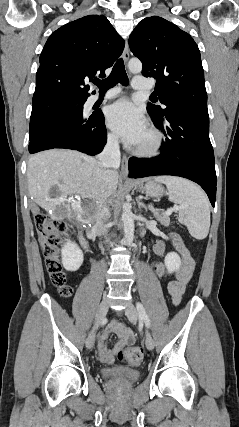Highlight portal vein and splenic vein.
<instances>
[{"label":"portal vein and splenic vein","mask_w":239,"mask_h":427,"mask_svg":"<svg viewBox=\"0 0 239 427\" xmlns=\"http://www.w3.org/2000/svg\"><path fill=\"white\" fill-rule=\"evenodd\" d=\"M69 201H74V199L73 198H70L69 199ZM150 206V208H153V206L152 205H149ZM154 209V208H153ZM179 210V207L178 206H174L173 208H170V209H168L166 212H164L163 214L164 215H170L173 211H178Z\"/></svg>","instance_id":"portal-vein-and-splenic-vein-1"}]
</instances>
